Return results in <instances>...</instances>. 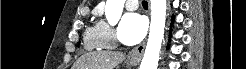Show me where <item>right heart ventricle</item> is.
Masks as SVG:
<instances>
[{
  "mask_svg": "<svg viewBox=\"0 0 246 69\" xmlns=\"http://www.w3.org/2000/svg\"><path fill=\"white\" fill-rule=\"evenodd\" d=\"M84 46L87 50L105 49L108 47L104 44V39L98 25L87 28L84 34Z\"/></svg>",
  "mask_w": 246,
  "mask_h": 69,
  "instance_id": "e07e8e85",
  "label": "right heart ventricle"
}]
</instances>
